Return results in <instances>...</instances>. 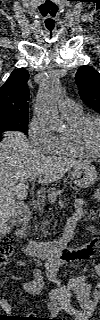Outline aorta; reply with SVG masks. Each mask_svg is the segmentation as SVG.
Returning <instances> with one entry per match:
<instances>
[{"label":"aorta","mask_w":100,"mask_h":320,"mask_svg":"<svg viewBox=\"0 0 100 320\" xmlns=\"http://www.w3.org/2000/svg\"><path fill=\"white\" fill-rule=\"evenodd\" d=\"M61 94L59 79L55 76L46 78L37 94L35 111L38 118L51 130H60L66 125V120L57 106Z\"/></svg>","instance_id":"1"}]
</instances>
